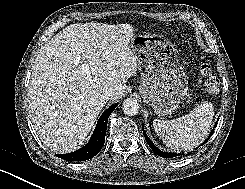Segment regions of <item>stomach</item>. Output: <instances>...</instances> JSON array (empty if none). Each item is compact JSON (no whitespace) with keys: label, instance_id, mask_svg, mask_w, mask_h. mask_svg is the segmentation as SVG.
Listing matches in <instances>:
<instances>
[{"label":"stomach","instance_id":"stomach-1","mask_svg":"<svg viewBox=\"0 0 245 189\" xmlns=\"http://www.w3.org/2000/svg\"><path fill=\"white\" fill-rule=\"evenodd\" d=\"M141 73L139 91L158 116L174 112L187 94L188 77L177 49L156 36L134 34L129 43Z\"/></svg>","mask_w":245,"mask_h":189}]
</instances>
